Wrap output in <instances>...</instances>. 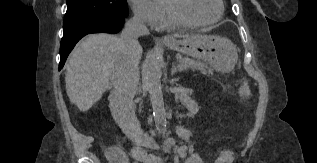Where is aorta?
Masks as SVG:
<instances>
[{
  "instance_id": "obj_1",
  "label": "aorta",
  "mask_w": 317,
  "mask_h": 163,
  "mask_svg": "<svg viewBox=\"0 0 317 163\" xmlns=\"http://www.w3.org/2000/svg\"><path fill=\"white\" fill-rule=\"evenodd\" d=\"M161 68L157 58L149 54L144 64L145 84L150 94L154 121L156 126L163 127L166 124L163 94L161 88Z\"/></svg>"
}]
</instances>
